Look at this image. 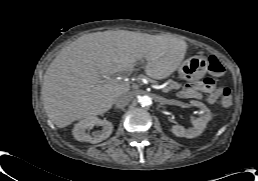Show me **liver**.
<instances>
[{"mask_svg": "<svg viewBox=\"0 0 258 181\" xmlns=\"http://www.w3.org/2000/svg\"><path fill=\"white\" fill-rule=\"evenodd\" d=\"M187 44L168 35L126 30L82 36L64 48L47 68L41 96L48 118L59 128L107 112L115 98L130 90L127 82L105 78L132 71L146 61L153 79L169 77L184 59Z\"/></svg>", "mask_w": 258, "mask_h": 181, "instance_id": "obj_1", "label": "liver"}]
</instances>
